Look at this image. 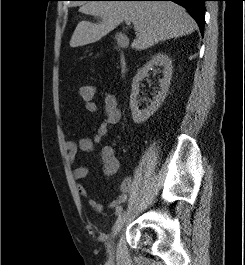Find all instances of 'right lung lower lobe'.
Here are the masks:
<instances>
[{"label": "right lung lower lobe", "instance_id": "right-lung-lower-lobe-1", "mask_svg": "<svg viewBox=\"0 0 245 265\" xmlns=\"http://www.w3.org/2000/svg\"><path fill=\"white\" fill-rule=\"evenodd\" d=\"M122 1H173L184 8H186L190 15L197 22L201 34L203 35L204 31V17H205V5L206 0H122Z\"/></svg>", "mask_w": 245, "mask_h": 265}]
</instances>
